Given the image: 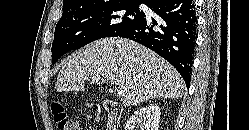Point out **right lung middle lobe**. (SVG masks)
<instances>
[{
	"mask_svg": "<svg viewBox=\"0 0 249 130\" xmlns=\"http://www.w3.org/2000/svg\"><path fill=\"white\" fill-rule=\"evenodd\" d=\"M141 3L144 2L114 0L64 12L55 28L52 63L65 53L97 39L119 36L140 22L145 18V13L139 11Z\"/></svg>",
	"mask_w": 249,
	"mask_h": 130,
	"instance_id": "1",
	"label": "right lung middle lobe"
}]
</instances>
